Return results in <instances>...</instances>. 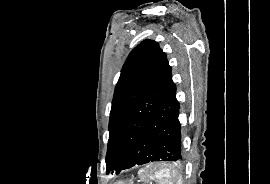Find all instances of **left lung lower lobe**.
Returning a JSON list of instances; mask_svg holds the SVG:
<instances>
[{
    "instance_id": "left-lung-lower-lobe-1",
    "label": "left lung lower lobe",
    "mask_w": 270,
    "mask_h": 184,
    "mask_svg": "<svg viewBox=\"0 0 270 184\" xmlns=\"http://www.w3.org/2000/svg\"><path fill=\"white\" fill-rule=\"evenodd\" d=\"M179 102L173 83L164 99L130 148L122 170L150 162L181 161L183 158L181 126L178 120Z\"/></svg>"
}]
</instances>
